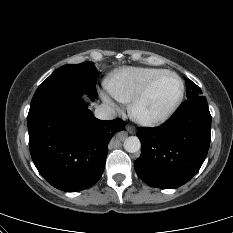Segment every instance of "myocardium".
Segmentation results:
<instances>
[{
  "label": "myocardium",
  "mask_w": 233,
  "mask_h": 233,
  "mask_svg": "<svg viewBox=\"0 0 233 233\" xmlns=\"http://www.w3.org/2000/svg\"><path fill=\"white\" fill-rule=\"evenodd\" d=\"M171 75L174 76L179 83V94L174 100V102L160 115L155 117H144L139 114L138 108L143 100L147 97L150 90L154 86V84L163 76ZM185 93V86L182 78L173 71L163 70L154 77H152L142 88L141 90L133 97L129 104V113L132 118H134L138 123L146 126H156L167 121L178 109L180 106Z\"/></svg>",
  "instance_id": "myocardium-1"
}]
</instances>
